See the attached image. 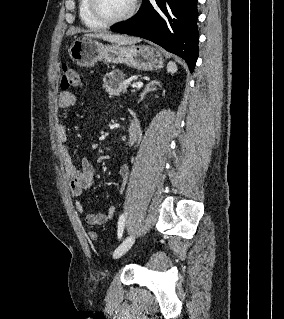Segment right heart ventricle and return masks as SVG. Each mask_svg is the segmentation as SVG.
<instances>
[{"mask_svg": "<svg viewBox=\"0 0 284 319\" xmlns=\"http://www.w3.org/2000/svg\"><path fill=\"white\" fill-rule=\"evenodd\" d=\"M78 13L81 22L89 29L98 30L105 25L97 21L90 12L89 0H79L78 2Z\"/></svg>", "mask_w": 284, "mask_h": 319, "instance_id": "1", "label": "right heart ventricle"}]
</instances>
